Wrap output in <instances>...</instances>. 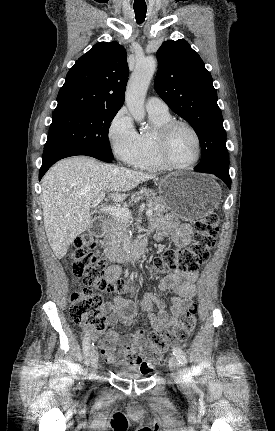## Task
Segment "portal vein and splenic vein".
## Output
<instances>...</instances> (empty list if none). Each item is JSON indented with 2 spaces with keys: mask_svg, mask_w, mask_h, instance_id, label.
Instances as JSON below:
<instances>
[{
  "mask_svg": "<svg viewBox=\"0 0 275 431\" xmlns=\"http://www.w3.org/2000/svg\"><path fill=\"white\" fill-rule=\"evenodd\" d=\"M105 197L104 192H100L98 198L93 201L92 207L97 208L101 200ZM99 210L103 213H107L110 215H113L115 217L121 218V219H130L131 218V212L126 207H115V206H101ZM153 211L151 209L146 211L147 216H152Z\"/></svg>",
  "mask_w": 275,
  "mask_h": 431,
  "instance_id": "18ae733b",
  "label": "portal vein and splenic vein"
}]
</instances>
